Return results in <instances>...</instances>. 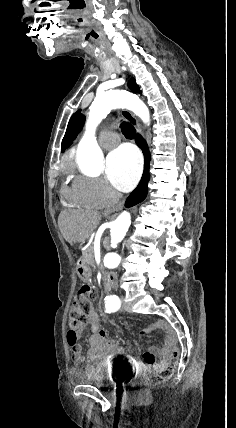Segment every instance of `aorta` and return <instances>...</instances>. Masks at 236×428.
<instances>
[{"mask_svg": "<svg viewBox=\"0 0 236 428\" xmlns=\"http://www.w3.org/2000/svg\"><path fill=\"white\" fill-rule=\"evenodd\" d=\"M116 108H127L139 116L143 122L150 120L147 106L134 94L125 90H113L96 96L89 107L86 131L81 139L77 158L79 165L88 172H98L103 166V153L97 143L95 130L99 123ZM131 224V216L127 211L122 212L110 225L111 245L116 246L125 237ZM104 266L116 268L121 257L116 252H108L103 259Z\"/></svg>", "mask_w": 236, "mask_h": 428, "instance_id": "aorta-1", "label": "aorta"}]
</instances>
